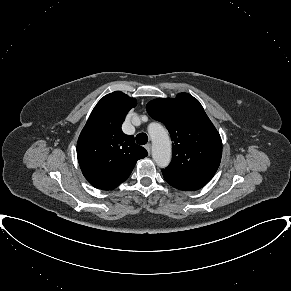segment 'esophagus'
I'll return each instance as SVG.
<instances>
[{"instance_id":"1","label":"esophagus","mask_w":291,"mask_h":291,"mask_svg":"<svg viewBox=\"0 0 291 291\" xmlns=\"http://www.w3.org/2000/svg\"><path fill=\"white\" fill-rule=\"evenodd\" d=\"M145 148L148 151V153L150 154L151 153V144L150 143L146 144Z\"/></svg>"}]
</instances>
